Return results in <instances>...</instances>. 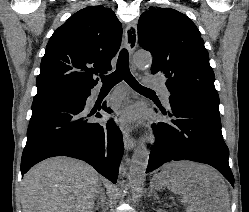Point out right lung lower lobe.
Instances as JSON below:
<instances>
[{
  "instance_id": "98d812e1",
  "label": "right lung lower lobe",
  "mask_w": 249,
  "mask_h": 212,
  "mask_svg": "<svg viewBox=\"0 0 249 212\" xmlns=\"http://www.w3.org/2000/svg\"><path fill=\"white\" fill-rule=\"evenodd\" d=\"M90 90L71 96L35 99L21 160L24 175L36 163L53 156L81 159L101 175L116 183L123 154L122 133L113 120L108 124L90 123L86 100ZM111 113L106 102L101 107ZM96 117L102 115L97 113Z\"/></svg>"
}]
</instances>
